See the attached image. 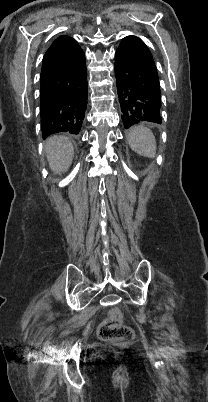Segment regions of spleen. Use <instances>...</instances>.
<instances>
[{"instance_id":"obj_1","label":"spleen","mask_w":208,"mask_h":402,"mask_svg":"<svg viewBox=\"0 0 208 402\" xmlns=\"http://www.w3.org/2000/svg\"><path fill=\"white\" fill-rule=\"evenodd\" d=\"M128 144L131 150H134L139 156L155 158L156 140L149 128H144V126L132 128L128 136Z\"/></svg>"}]
</instances>
